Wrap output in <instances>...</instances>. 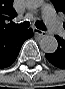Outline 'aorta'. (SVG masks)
Listing matches in <instances>:
<instances>
[{"label":"aorta","mask_w":65,"mask_h":89,"mask_svg":"<svg viewBox=\"0 0 65 89\" xmlns=\"http://www.w3.org/2000/svg\"><path fill=\"white\" fill-rule=\"evenodd\" d=\"M31 7H38L39 2L33 1L30 3ZM40 48L45 53H54L58 48V42L53 35H45L40 41Z\"/></svg>","instance_id":"1"}]
</instances>
